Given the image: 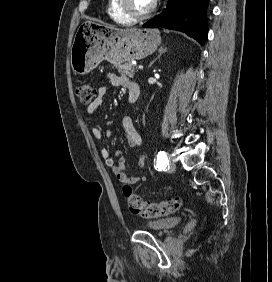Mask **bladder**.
Segmentation results:
<instances>
[{
	"label": "bladder",
	"mask_w": 272,
	"mask_h": 282,
	"mask_svg": "<svg viewBox=\"0 0 272 282\" xmlns=\"http://www.w3.org/2000/svg\"><path fill=\"white\" fill-rule=\"evenodd\" d=\"M181 220V216H171L153 222H149L146 224V228L150 231H164L177 226L181 222Z\"/></svg>",
	"instance_id": "31cf9c89"
}]
</instances>
